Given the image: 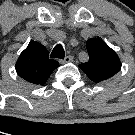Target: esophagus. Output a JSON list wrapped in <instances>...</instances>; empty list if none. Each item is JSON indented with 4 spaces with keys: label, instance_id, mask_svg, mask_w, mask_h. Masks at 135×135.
I'll return each instance as SVG.
<instances>
[{
    "label": "esophagus",
    "instance_id": "1",
    "mask_svg": "<svg viewBox=\"0 0 135 135\" xmlns=\"http://www.w3.org/2000/svg\"><path fill=\"white\" fill-rule=\"evenodd\" d=\"M71 61H73V57L71 55H68L64 59H61L59 62L63 64V63L71 62Z\"/></svg>",
    "mask_w": 135,
    "mask_h": 135
}]
</instances>
